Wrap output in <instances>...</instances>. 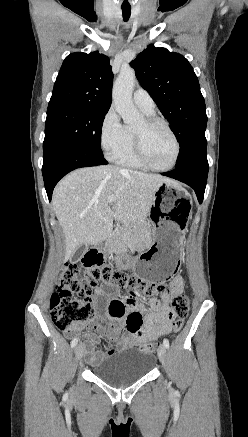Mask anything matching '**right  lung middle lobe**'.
<instances>
[{
	"label": "right lung middle lobe",
	"instance_id": "right-lung-middle-lobe-1",
	"mask_svg": "<svg viewBox=\"0 0 248 437\" xmlns=\"http://www.w3.org/2000/svg\"><path fill=\"white\" fill-rule=\"evenodd\" d=\"M107 112L65 102L49 103L43 150L70 144L103 155L100 139Z\"/></svg>",
	"mask_w": 248,
	"mask_h": 437
}]
</instances>
